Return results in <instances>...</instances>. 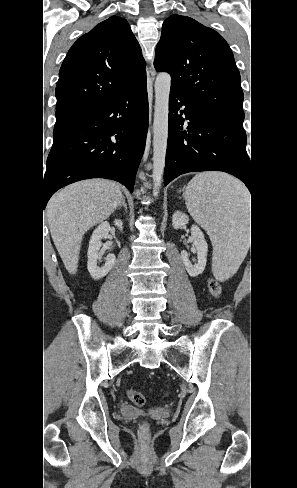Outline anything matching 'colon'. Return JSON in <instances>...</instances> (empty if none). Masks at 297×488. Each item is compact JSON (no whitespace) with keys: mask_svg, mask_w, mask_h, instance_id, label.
Segmentation results:
<instances>
[{"mask_svg":"<svg viewBox=\"0 0 297 488\" xmlns=\"http://www.w3.org/2000/svg\"><path fill=\"white\" fill-rule=\"evenodd\" d=\"M208 287H209L210 293L214 297L218 298L221 296V293H222L221 284L216 279H214L213 277L209 279ZM127 395L129 397V399L137 406H143L146 403L145 396L142 393L136 391L135 389L129 388L127 390ZM148 429H149V427L146 423L142 424L141 431L143 433L148 432Z\"/></svg>","mask_w":297,"mask_h":488,"instance_id":"obj_1","label":"colon"}]
</instances>
